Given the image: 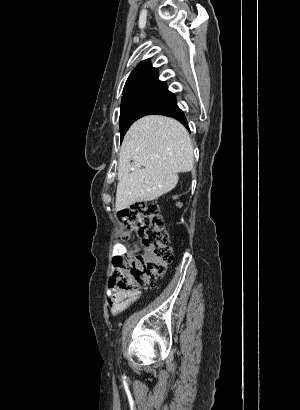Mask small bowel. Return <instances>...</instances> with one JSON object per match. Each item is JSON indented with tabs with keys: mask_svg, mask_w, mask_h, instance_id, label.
I'll use <instances>...</instances> for the list:
<instances>
[{
	"mask_svg": "<svg viewBox=\"0 0 300 410\" xmlns=\"http://www.w3.org/2000/svg\"><path fill=\"white\" fill-rule=\"evenodd\" d=\"M127 252L123 244L114 245V254L121 255ZM140 298V292L133 290L130 292L110 291L107 298V303L112 316H116L125 311L131 304L136 303Z\"/></svg>",
	"mask_w": 300,
	"mask_h": 410,
	"instance_id": "obj_1",
	"label": "small bowel"
}]
</instances>
